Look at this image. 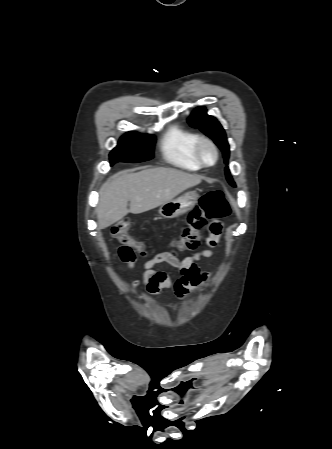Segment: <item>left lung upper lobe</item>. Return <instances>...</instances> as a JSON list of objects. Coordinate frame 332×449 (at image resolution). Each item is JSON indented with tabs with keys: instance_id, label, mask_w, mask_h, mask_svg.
Instances as JSON below:
<instances>
[{
	"instance_id": "1",
	"label": "left lung upper lobe",
	"mask_w": 332,
	"mask_h": 449,
	"mask_svg": "<svg viewBox=\"0 0 332 449\" xmlns=\"http://www.w3.org/2000/svg\"><path fill=\"white\" fill-rule=\"evenodd\" d=\"M188 122L192 127L199 128L204 134L214 140L216 145L222 150L225 163H228L229 158V144L227 142L226 134L220 123L206 113L204 107L197 108L188 118ZM226 178L230 185L235 187L229 168L226 167Z\"/></svg>"
}]
</instances>
